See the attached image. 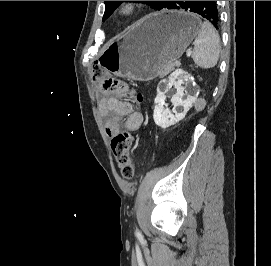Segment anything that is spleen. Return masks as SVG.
Returning a JSON list of instances; mask_svg holds the SVG:
<instances>
[{
  "label": "spleen",
  "mask_w": 271,
  "mask_h": 266,
  "mask_svg": "<svg viewBox=\"0 0 271 266\" xmlns=\"http://www.w3.org/2000/svg\"><path fill=\"white\" fill-rule=\"evenodd\" d=\"M220 38L209 22L200 24L192 58L195 64L204 69L216 66L220 55Z\"/></svg>",
  "instance_id": "obj_1"
}]
</instances>
